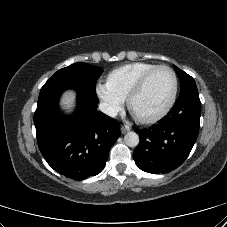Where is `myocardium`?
Here are the masks:
<instances>
[{
    "label": "myocardium",
    "mask_w": 227,
    "mask_h": 227,
    "mask_svg": "<svg viewBox=\"0 0 227 227\" xmlns=\"http://www.w3.org/2000/svg\"><path fill=\"white\" fill-rule=\"evenodd\" d=\"M160 69H167L168 71L171 72L173 76V89L171 96L167 102V104L156 114L149 116V117H139L136 116L137 120L141 123L145 124H150V123H155L159 120H161L164 116L168 114V112L172 109L176 98L178 94V88H179V80L176 71L168 66V65H156L155 67L151 68L150 70L146 71L135 83V85L132 87L130 90L128 96H127V106L131 112L132 110V104L135 99V97L142 91L144 88L145 84L147 83L148 79L158 70Z\"/></svg>",
    "instance_id": "obj_1"
}]
</instances>
